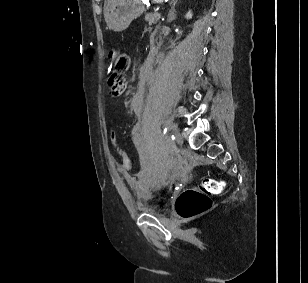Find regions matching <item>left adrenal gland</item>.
<instances>
[{
	"label": "left adrenal gland",
	"mask_w": 308,
	"mask_h": 283,
	"mask_svg": "<svg viewBox=\"0 0 308 283\" xmlns=\"http://www.w3.org/2000/svg\"><path fill=\"white\" fill-rule=\"evenodd\" d=\"M177 1L178 0H172V2H171L172 6H171V9H170L169 14H168V22L169 23L172 22L176 18V16H175V5H176Z\"/></svg>",
	"instance_id": "obj_1"
}]
</instances>
